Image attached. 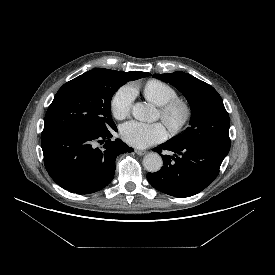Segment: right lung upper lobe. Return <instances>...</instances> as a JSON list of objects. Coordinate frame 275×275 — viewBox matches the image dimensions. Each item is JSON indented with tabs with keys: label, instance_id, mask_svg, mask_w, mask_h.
<instances>
[{
	"label": "right lung upper lobe",
	"instance_id": "right-lung-upper-lobe-1",
	"mask_svg": "<svg viewBox=\"0 0 275 275\" xmlns=\"http://www.w3.org/2000/svg\"><path fill=\"white\" fill-rule=\"evenodd\" d=\"M102 70H106L104 68H96L91 71H88V73H97ZM119 72V71H117ZM119 74L126 79L127 81L137 80L146 76H150V73L147 72H140V71H130V72H119Z\"/></svg>",
	"mask_w": 275,
	"mask_h": 275
}]
</instances>
